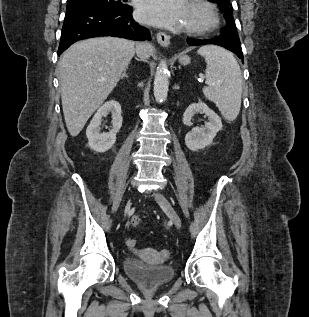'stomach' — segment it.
<instances>
[{
	"label": "stomach",
	"instance_id": "stomach-1",
	"mask_svg": "<svg viewBox=\"0 0 309 317\" xmlns=\"http://www.w3.org/2000/svg\"><path fill=\"white\" fill-rule=\"evenodd\" d=\"M179 61L181 64L186 65L190 62V58L188 56H181Z\"/></svg>",
	"mask_w": 309,
	"mask_h": 317
}]
</instances>
